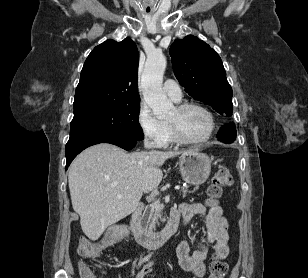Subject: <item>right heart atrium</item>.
Wrapping results in <instances>:
<instances>
[{"label":"right heart atrium","instance_id":"1","mask_svg":"<svg viewBox=\"0 0 308 278\" xmlns=\"http://www.w3.org/2000/svg\"><path fill=\"white\" fill-rule=\"evenodd\" d=\"M137 123L143 138L150 145L163 147L168 143L169 127L167 123L155 117L151 110L144 104L139 108Z\"/></svg>","mask_w":308,"mask_h":278}]
</instances>
